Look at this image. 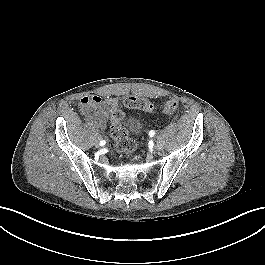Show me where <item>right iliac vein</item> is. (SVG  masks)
Returning <instances> with one entry per match:
<instances>
[{"instance_id": "right-iliac-vein-1", "label": "right iliac vein", "mask_w": 265, "mask_h": 265, "mask_svg": "<svg viewBox=\"0 0 265 265\" xmlns=\"http://www.w3.org/2000/svg\"><path fill=\"white\" fill-rule=\"evenodd\" d=\"M95 146L100 147L101 145H100V143L97 142V143H95Z\"/></svg>"}]
</instances>
